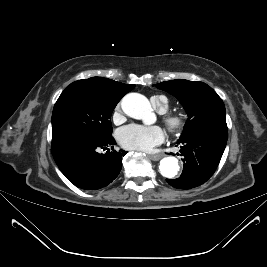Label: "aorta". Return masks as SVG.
Listing matches in <instances>:
<instances>
[{
  "label": "aorta",
  "mask_w": 267,
  "mask_h": 267,
  "mask_svg": "<svg viewBox=\"0 0 267 267\" xmlns=\"http://www.w3.org/2000/svg\"><path fill=\"white\" fill-rule=\"evenodd\" d=\"M123 112L134 119L146 120L151 114L148 99L139 93L127 94L121 101ZM159 171L166 178H173L179 171L178 160L175 157H165L160 161Z\"/></svg>",
  "instance_id": "1"
}]
</instances>
